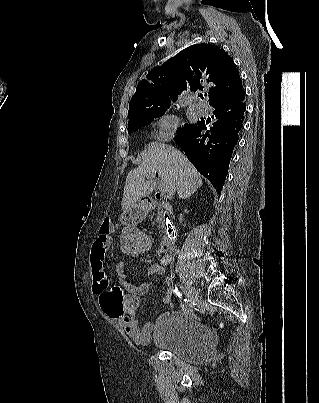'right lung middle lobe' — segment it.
Here are the masks:
<instances>
[{
    "label": "right lung middle lobe",
    "instance_id": "dd1d6c3e",
    "mask_svg": "<svg viewBox=\"0 0 319 403\" xmlns=\"http://www.w3.org/2000/svg\"><path fill=\"white\" fill-rule=\"evenodd\" d=\"M170 107V105H165L159 108H155L147 112L146 114L142 115L141 117L134 119L132 121H129L128 123V132L132 133L141 127H144L146 125H149L154 118H158L165 114L166 110ZM189 124H186L183 128L186 129L189 127Z\"/></svg>",
    "mask_w": 319,
    "mask_h": 403
}]
</instances>
